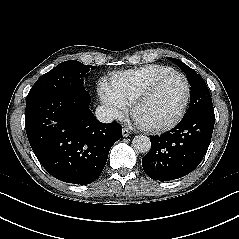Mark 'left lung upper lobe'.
Returning a JSON list of instances; mask_svg holds the SVG:
<instances>
[{
    "instance_id": "1",
    "label": "left lung upper lobe",
    "mask_w": 239,
    "mask_h": 239,
    "mask_svg": "<svg viewBox=\"0 0 239 239\" xmlns=\"http://www.w3.org/2000/svg\"><path fill=\"white\" fill-rule=\"evenodd\" d=\"M168 59L177 64L178 67L183 70V72L186 74L188 82L191 85L190 104L185 115L199 110L213 109L210 92L203 78L195 70L191 69L182 61L170 57H168Z\"/></svg>"
}]
</instances>
